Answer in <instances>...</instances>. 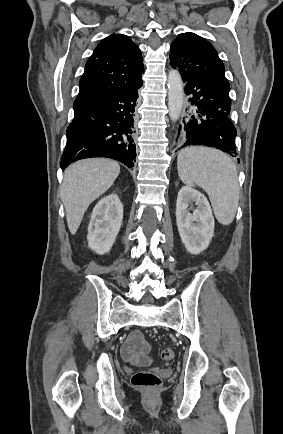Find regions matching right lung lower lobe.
I'll return each instance as SVG.
<instances>
[{
    "label": "right lung lower lobe",
    "instance_id": "98d812e1",
    "mask_svg": "<svg viewBox=\"0 0 283 434\" xmlns=\"http://www.w3.org/2000/svg\"><path fill=\"white\" fill-rule=\"evenodd\" d=\"M142 84L74 108L60 162L62 168L90 157L115 159L129 168L134 165V111L137 90Z\"/></svg>",
    "mask_w": 283,
    "mask_h": 434
}]
</instances>
